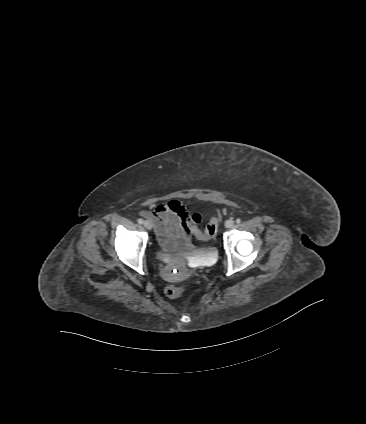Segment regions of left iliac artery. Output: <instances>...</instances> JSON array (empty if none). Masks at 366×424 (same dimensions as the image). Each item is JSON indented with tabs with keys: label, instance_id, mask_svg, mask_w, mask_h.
<instances>
[{
	"label": "left iliac artery",
	"instance_id": "44dca946",
	"mask_svg": "<svg viewBox=\"0 0 366 424\" xmlns=\"http://www.w3.org/2000/svg\"><path fill=\"white\" fill-rule=\"evenodd\" d=\"M236 223H238V224L241 223V219H239V218L236 219Z\"/></svg>",
	"mask_w": 366,
	"mask_h": 424
}]
</instances>
